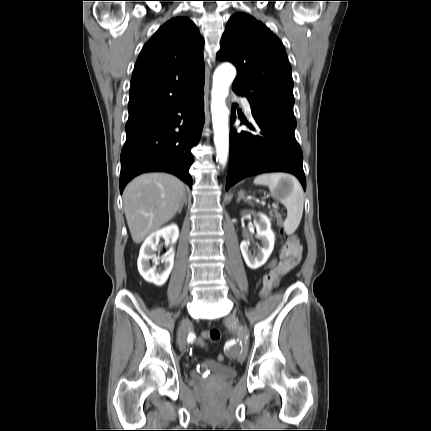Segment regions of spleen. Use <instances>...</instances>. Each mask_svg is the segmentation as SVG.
<instances>
[{"mask_svg": "<svg viewBox=\"0 0 431 431\" xmlns=\"http://www.w3.org/2000/svg\"><path fill=\"white\" fill-rule=\"evenodd\" d=\"M282 180H289L293 185L291 192L284 199L287 217L283 224L285 232L292 234L300 224L304 207V193L298 180L286 173H270L258 175L254 179V184L265 185L271 190H276Z\"/></svg>", "mask_w": 431, "mask_h": 431, "instance_id": "spleen-1", "label": "spleen"}]
</instances>
